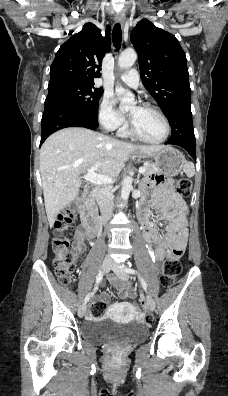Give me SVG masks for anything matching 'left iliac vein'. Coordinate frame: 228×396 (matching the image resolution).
I'll return each mask as SVG.
<instances>
[{
  "instance_id": "left-iliac-vein-1",
  "label": "left iliac vein",
  "mask_w": 228,
  "mask_h": 396,
  "mask_svg": "<svg viewBox=\"0 0 228 396\" xmlns=\"http://www.w3.org/2000/svg\"><path fill=\"white\" fill-rule=\"evenodd\" d=\"M127 267L118 265V264H113L112 266V270L114 271V273L122 280H127L128 279V273L125 271ZM146 303L148 306V309L150 311H153L155 308V302L153 300V298L150 295L146 296Z\"/></svg>"
}]
</instances>
